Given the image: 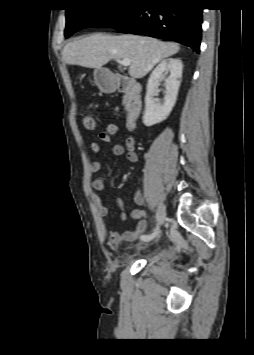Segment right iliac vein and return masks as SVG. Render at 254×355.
<instances>
[{
	"mask_svg": "<svg viewBox=\"0 0 254 355\" xmlns=\"http://www.w3.org/2000/svg\"><path fill=\"white\" fill-rule=\"evenodd\" d=\"M165 216H166V207L163 203H160L156 213V220L159 226L163 224Z\"/></svg>",
	"mask_w": 254,
	"mask_h": 355,
	"instance_id": "63e3f726",
	"label": "right iliac vein"
}]
</instances>
